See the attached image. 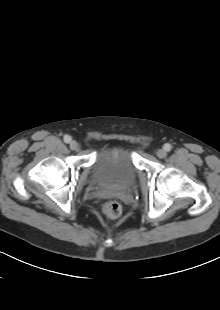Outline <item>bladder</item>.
I'll return each instance as SVG.
<instances>
[{"label": "bladder", "instance_id": "bladder-1", "mask_svg": "<svg viewBox=\"0 0 220 310\" xmlns=\"http://www.w3.org/2000/svg\"><path fill=\"white\" fill-rule=\"evenodd\" d=\"M93 178L99 186L104 188H129L137 178V170L131 154L121 147L102 148L95 157Z\"/></svg>", "mask_w": 220, "mask_h": 310}]
</instances>
